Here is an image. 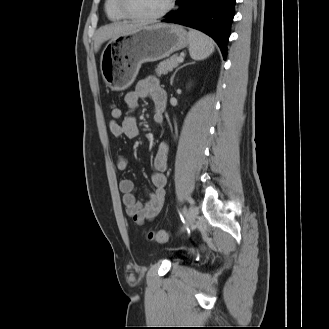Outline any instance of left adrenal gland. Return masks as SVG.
<instances>
[{
  "label": "left adrenal gland",
  "instance_id": "a2214340",
  "mask_svg": "<svg viewBox=\"0 0 329 329\" xmlns=\"http://www.w3.org/2000/svg\"><path fill=\"white\" fill-rule=\"evenodd\" d=\"M193 63H194V62H193ZM193 63H187V64H184V65H182L181 67H179L178 69H176V71L174 72V74L172 75V77H171V79H170V84H171V85L173 84L174 77H175V75H176V73L178 72L179 69H181V68H183V67H185V66H187V65H189V64H193Z\"/></svg>",
  "mask_w": 329,
  "mask_h": 329
}]
</instances>
